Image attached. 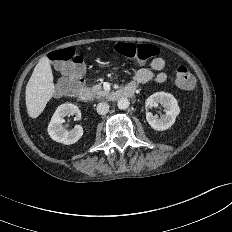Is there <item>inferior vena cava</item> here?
<instances>
[{
	"label": "inferior vena cava",
	"mask_w": 232,
	"mask_h": 232,
	"mask_svg": "<svg viewBox=\"0 0 232 232\" xmlns=\"http://www.w3.org/2000/svg\"><path fill=\"white\" fill-rule=\"evenodd\" d=\"M97 113L100 114V115H105L108 113L109 111V105L105 102H100L98 105H97Z\"/></svg>",
	"instance_id": "602c4592"
}]
</instances>
